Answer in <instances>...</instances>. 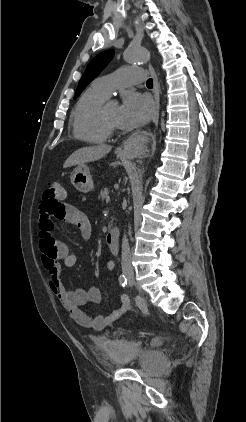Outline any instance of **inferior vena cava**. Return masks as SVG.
Instances as JSON below:
<instances>
[{"instance_id": "inferior-vena-cava-1", "label": "inferior vena cava", "mask_w": 246, "mask_h": 422, "mask_svg": "<svg viewBox=\"0 0 246 422\" xmlns=\"http://www.w3.org/2000/svg\"><path fill=\"white\" fill-rule=\"evenodd\" d=\"M122 270L123 272H129V273H133V267L131 264V253H130V247H129V243H128V239L126 237V235H124L123 237V242H122Z\"/></svg>"}]
</instances>
